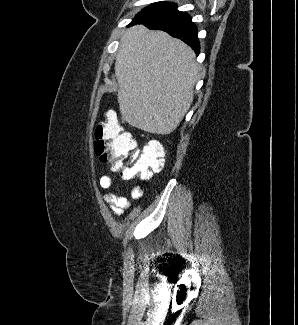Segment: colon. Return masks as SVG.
<instances>
[{
	"label": "colon",
	"instance_id": "5ec220e1",
	"mask_svg": "<svg viewBox=\"0 0 298 325\" xmlns=\"http://www.w3.org/2000/svg\"><path fill=\"white\" fill-rule=\"evenodd\" d=\"M95 151L110 171L125 181H147L164 167V152L149 143L138 149L137 140L125 130L114 111H107L95 129Z\"/></svg>",
	"mask_w": 298,
	"mask_h": 325
}]
</instances>
